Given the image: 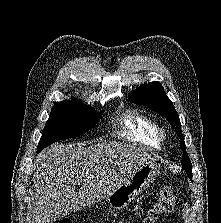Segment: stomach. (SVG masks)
I'll use <instances>...</instances> for the list:
<instances>
[{
  "instance_id": "0dacf381",
  "label": "stomach",
  "mask_w": 221,
  "mask_h": 223,
  "mask_svg": "<svg viewBox=\"0 0 221 223\" xmlns=\"http://www.w3.org/2000/svg\"><path fill=\"white\" fill-rule=\"evenodd\" d=\"M159 174L160 165L156 162H146L136 166L127 179L106 197L108 204L113 209L124 208L146 190Z\"/></svg>"
}]
</instances>
